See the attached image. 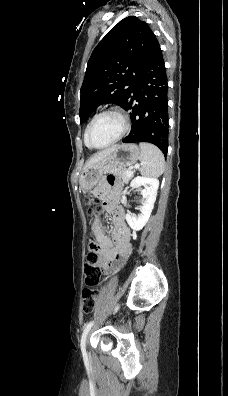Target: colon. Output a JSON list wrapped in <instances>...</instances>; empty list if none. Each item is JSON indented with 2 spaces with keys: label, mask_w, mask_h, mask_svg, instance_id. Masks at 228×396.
<instances>
[{
  "label": "colon",
  "mask_w": 228,
  "mask_h": 396,
  "mask_svg": "<svg viewBox=\"0 0 228 396\" xmlns=\"http://www.w3.org/2000/svg\"><path fill=\"white\" fill-rule=\"evenodd\" d=\"M86 205L88 207L87 213L89 217L93 222H95L102 211L98 200L96 198H88L86 200ZM97 248L98 246L96 243H90L85 265V273L87 276L86 281L89 286L83 290L82 297L83 310L86 313H90L94 310L99 296V288L95 286L96 280L101 273V264L97 253Z\"/></svg>",
  "instance_id": "obj_1"
}]
</instances>
